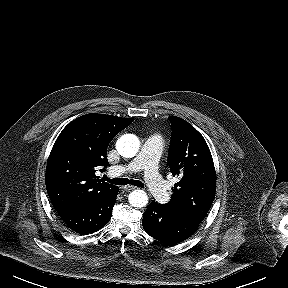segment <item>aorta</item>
Masks as SVG:
<instances>
[{
    "instance_id": "aorta-1",
    "label": "aorta",
    "mask_w": 288,
    "mask_h": 288,
    "mask_svg": "<svg viewBox=\"0 0 288 288\" xmlns=\"http://www.w3.org/2000/svg\"><path fill=\"white\" fill-rule=\"evenodd\" d=\"M140 142L137 136L133 134H125L116 142L118 153L126 158L134 157L139 150ZM129 203L135 208L145 207L148 203V196L143 190H134L129 194Z\"/></svg>"
}]
</instances>
